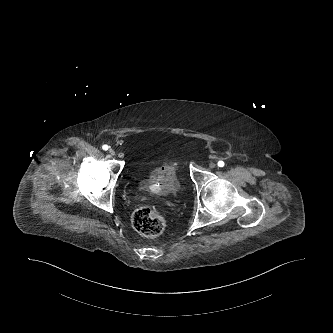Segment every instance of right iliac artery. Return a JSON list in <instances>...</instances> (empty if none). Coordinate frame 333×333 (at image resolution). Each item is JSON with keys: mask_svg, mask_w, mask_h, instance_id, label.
Masks as SVG:
<instances>
[{"mask_svg": "<svg viewBox=\"0 0 333 333\" xmlns=\"http://www.w3.org/2000/svg\"><path fill=\"white\" fill-rule=\"evenodd\" d=\"M108 148H109V146L106 145V144L102 146V149L105 150V151L108 150Z\"/></svg>", "mask_w": 333, "mask_h": 333, "instance_id": "1", "label": "right iliac artery"}]
</instances>
